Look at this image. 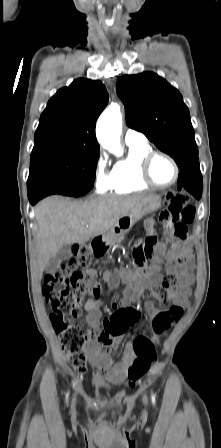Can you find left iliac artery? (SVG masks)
Segmentation results:
<instances>
[{
    "label": "left iliac artery",
    "instance_id": "obj_1",
    "mask_svg": "<svg viewBox=\"0 0 221 448\" xmlns=\"http://www.w3.org/2000/svg\"><path fill=\"white\" fill-rule=\"evenodd\" d=\"M152 400H153V402L155 401V398H154V396L152 397Z\"/></svg>",
    "mask_w": 221,
    "mask_h": 448
}]
</instances>
